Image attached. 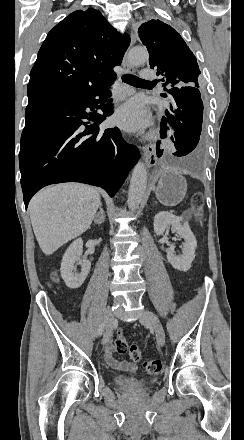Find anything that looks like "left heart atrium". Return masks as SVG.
Returning <instances> with one entry per match:
<instances>
[{
  "label": "left heart atrium",
  "mask_w": 244,
  "mask_h": 440,
  "mask_svg": "<svg viewBox=\"0 0 244 440\" xmlns=\"http://www.w3.org/2000/svg\"><path fill=\"white\" fill-rule=\"evenodd\" d=\"M113 121L128 131H136L148 126L152 116L143 100L133 98L117 108Z\"/></svg>",
  "instance_id": "39dd6f15"
}]
</instances>
